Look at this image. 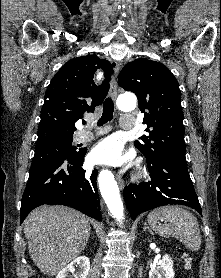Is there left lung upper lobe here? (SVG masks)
<instances>
[{"label": "left lung upper lobe", "instance_id": "obj_1", "mask_svg": "<svg viewBox=\"0 0 221 278\" xmlns=\"http://www.w3.org/2000/svg\"><path fill=\"white\" fill-rule=\"evenodd\" d=\"M119 86L138 98L146 135L135 142L147 162L170 153L185 154L181 92L171 71L162 63L140 58L120 72Z\"/></svg>", "mask_w": 221, "mask_h": 278}]
</instances>
